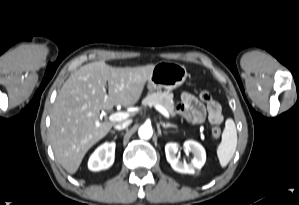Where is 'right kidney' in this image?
Segmentation results:
<instances>
[{"label": "right kidney", "mask_w": 299, "mask_h": 205, "mask_svg": "<svg viewBox=\"0 0 299 205\" xmlns=\"http://www.w3.org/2000/svg\"><path fill=\"white\" fill-rule=\"evenodd\" d=\"M115 143H104L99 146L88 161V168L91 171H100L109 168L114 162Z\"/></svg>", "instance_id": "1"}]
</instances>
